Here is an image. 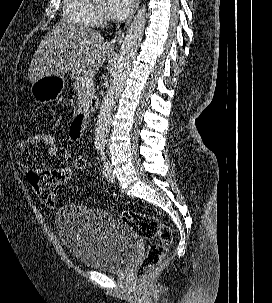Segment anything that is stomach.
Returning a JSON list of instances; mask_svg holds the SVG:
<instances>
[{"instance_id": "stomach-1", "label": "stomach", "mask_w": 272, "mask_h": 303, "mask_svg": "<svg viewBox=\"0 0 272 303\" xmlns=\"http://www.w3.org/2000/svg\"><path fill=\"white\" fill-rule=\"evenodd\" d=\"M64 85V77H43L32 84L31 96L41 104L53 102L62 93Z\"/></svg>"}]
</instances>
